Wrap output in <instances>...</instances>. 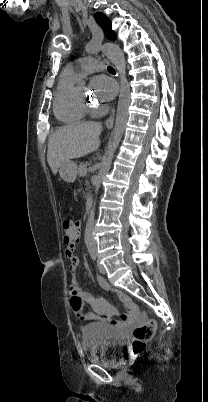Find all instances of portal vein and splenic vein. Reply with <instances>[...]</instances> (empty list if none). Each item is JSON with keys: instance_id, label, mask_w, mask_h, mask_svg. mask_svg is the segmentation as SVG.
I'll list each match as a JSON object with an SVG mask.
<instances>
[{"instance_id": "portal-vein-and-splenic-vein-1", "label": "portal vein and splenic vein", "mask_w": 208, "mask_h": 402, "mask_svg": "<svg viewBox=\"0 0 208 402\" xmlns=\"http://www.w3.org/2000/svg\"><path fill=\"white\" fill-rule=\"evenodd\" d=\"M86 166H87V163H86V162H83L82 165L80 166V169H81V170H84Z\"/></svg>"}]
</instances>
